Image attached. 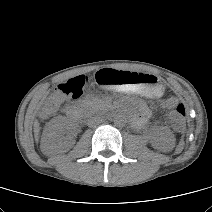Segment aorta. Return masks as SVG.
Instances as JSON below:
<instances>
[{"instance_id": "aorta-1", "label": "aorta", "mask_w": 212, "mask_h": 212, "mask_svg": "<svg viewBox=\"0 0 212 212\" xmlns=\"http://www.w3.org/2000/svg\"><path fill=\"white\" fill-rule=\"evenodd\" d=\"M125 122H126L125 118H124L123 116H121V115L117 116V117L115 118V120H114V123H115L116 125H118V126L124 125Z\"/></svg>"}]
</instances>
